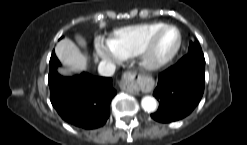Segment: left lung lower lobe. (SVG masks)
<instances>
[{
    "instance_id": "0a47b994",
    "label": "left lung lower lobe",
    "mask_w": 247,
    "mask_h": 145,
    "mask_svg": "<svg viewBox=\"0 0 247 145\" xmlns=\"http://www.w3.org/2000/svg\"><path fill=\"white\" fill-rule=\"evenodd\" d=\"M205 59L202 51H191L159 75L153 95L159 108L151 117L167 123L189 115L204 92Z\"/></svg>"
}]
</instances>
